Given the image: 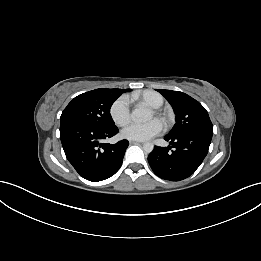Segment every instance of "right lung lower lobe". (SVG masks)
<instances>
[{"instance_id": "obj_1", "label": "right lung lower lobe", "mask_w": 261, "mask_h": 261, "mask_svg": "<svg viewBox=\"0 0 261 261\" xmlns=\"http://www.w3.org/2000/svg\"><path fill=\"white\" fill-rule=\"evenodd\" d=\"M117 133L116 126L101 129L67 120L60 123V139L67 160L83 178L93 182L113 176L122 165L129 142L103 143Z\"/></svg>"}]
</instances>
